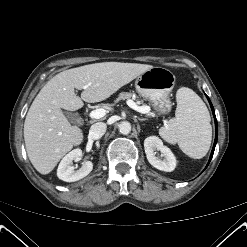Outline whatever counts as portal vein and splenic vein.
Returning a JSON list of instances; mask_svg holds the SVG:
<instances>
[{"mask_svg": "<svg viewBox=\"0 0 247 247\" xmlns=\"http://www.w3.org/2000/svg\"><path fill=\"white\" fill-rule=\"evenodd\" d=\"M127 105L132 108L133 110L140 112V113H146L147 112V107L144 106H138L135 102H133L132 100H127L126 101ZM106 114V110L105 109H96L90 112L89 116L92 119H100L102 117H104Z\"/></svg>", "mask_w": 247, "mask_h": 247, "instance_id": "18ae733b", "label": "portal vein and splenic vein"}]
</instances>
